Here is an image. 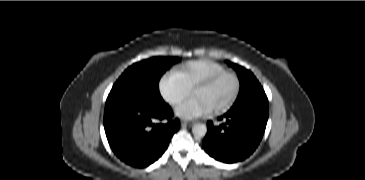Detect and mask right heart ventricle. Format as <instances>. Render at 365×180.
I'll return each instance as SVG.
<instances>
[{"label":"right heart ventricle","instance_id":"right-heart-ventricle-1","mask_svg":"<svg viewBox=\"0 0 365 180\" xmlns=\"http://www.w3.org/2000/svg\"><path fill=\"white\" fill-rule=\"evenodd\" d=\"M199 69H201V73H203V75H212L225 70L222 66L214 64H204L199 67Z\"/></svg>","mask_w":365,"mask_h":180}]
</instances>
